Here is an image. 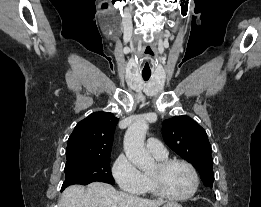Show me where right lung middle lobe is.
Returning a JSON list of instances; mask_svg holds the SVG:
<instances>
[{"label": "right lung middle lobe", "mask_w": 261, "mask_h": 207, "mask_svg": "<svg viewBox=\"0 0 261 207\" xmlns=\"http://www.w3.org/2000/svg\"><path fill=\"white\" fill-rule=\"evenodd\" d=\"M65 175L66 179L61 191L69 185H87L95 181L114 184L110 169V156L67 162Z\"/></svg>", "instance_id": "dd1d6c3e"}]
</instances>
